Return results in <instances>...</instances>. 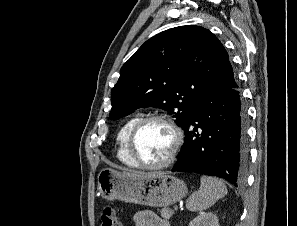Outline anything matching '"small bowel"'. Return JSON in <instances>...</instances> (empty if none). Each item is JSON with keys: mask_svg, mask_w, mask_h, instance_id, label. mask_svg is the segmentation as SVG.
Segmentation results:
<instances>
[{"mask_svg": "<svg viewBox=\"0 0 297 226\" xmlns=\"http://www.w3.org/2000/svg\"><path fill=\"white\" fill-rule=\"evenodd\" d=\"M133 226H169L167 220L152 211H139L132 217Z\"/></svg>", "mask_w": 297, "mask_h": 226, "instance_id": "1", "label": "small bowel"}]
</instances>
